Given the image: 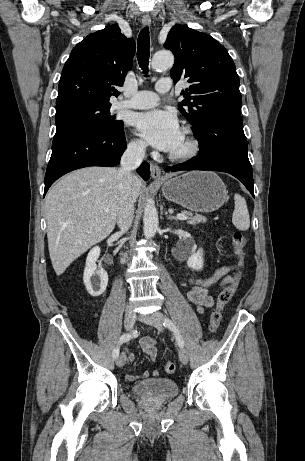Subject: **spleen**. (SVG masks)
<instances>
[{
    "label": "spleen",
    "mask_w": 305,
    "mask_h": 461,
    "mask_svg": "<svg viewBox=\"0 0 305 461\" xmlns=\"http://www.w3.org/2000/svg\"><path fill=\"white\" fill-rule=\"evenodd\" d=\"M235 207L232 214V223L238 229L246 231L250 227V217L246 200L239 194L234 195Z\"/></svg>",
    "instance_id": "obj_1"
}]
</instances>
